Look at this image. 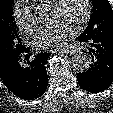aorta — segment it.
Wrapping results in <instances>:
<instances>
[{"label": "aorta", "instance_id": "aorta-1", "mask_svg": "<svg viewBox=\"0 0 113 113\" xmlns=\"http://www.w3.org/2000/svg\"><path fill=\"white\" fill-rule=\"evenodd\" d=\"M39 16L41 19L45 18L44 14H40ZM91 64H92V59L90 55L82 51H77L72 56V65L76 70L80 72L87 71L90 68Z\"/></svg>", "mask_w": 113, "mask_h": 113}]
</instances>
